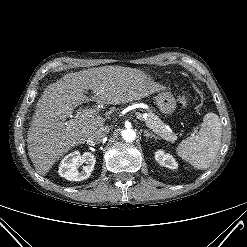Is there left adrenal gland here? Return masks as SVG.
Masks as SVG:
<instances>
[{"mask_svg":"<svg viewBox=\"0 0 247 247\" xmlns=\"http://www.w3.org/2000/svg\"><path fill=\"white\" fill-rule=\"evenodd\" d=\"M144 135H145V137L148 139V138H150V139H155V140H158V138H157V136H155L154 134H152V133H149L147 130H144Z\"/></svg>","mask_w":247,"mask_h":247,"instance_id":"obj_1","label":"left adrenal gland"}]
</instances>
